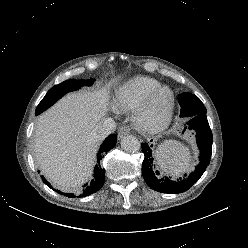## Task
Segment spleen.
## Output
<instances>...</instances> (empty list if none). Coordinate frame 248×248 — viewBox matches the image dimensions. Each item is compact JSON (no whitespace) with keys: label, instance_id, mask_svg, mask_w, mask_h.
<instances>
[{"label":"spleen","instance_id":"3e777b00","mask_svg":"<svg viewBox=\"0 0 248 248\" xmlns=\"http://www.w3.org/2000/svg\"><path fill=\"white\" fill-rule=\"evenodd\" d=\"M155 156L159 167L173 177H178L187 172L191 166L189 149L175 140H167L161 143Z\"/></svg>","mask_w":248,"mask_h":248}]
</instances>
